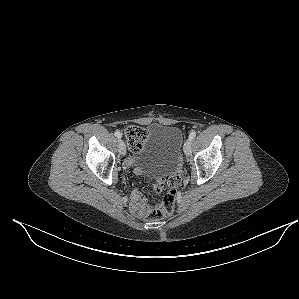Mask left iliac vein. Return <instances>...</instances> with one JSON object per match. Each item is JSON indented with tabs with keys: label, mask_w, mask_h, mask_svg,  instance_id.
I'll use <instances>...</instances> for the list:
<instances>
[{
	"label": "left iliac vein",
	"mask_w": 299,
	"mask_h": 299,
	"mask_svg": "<svg viewBox=\"0 0 299 299\" xmlns=\"http://www.w3.org/2000/svg\"><path fill=\"white\" fill-rule=\"evenodd\" d=\"M191 144L192 142L190 139H187L184 143V153L186 156H189L191 154V149H192Z\"/></svg>",
	"instance_id": "left-iliac-vein-1"
}]
</instances>
